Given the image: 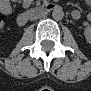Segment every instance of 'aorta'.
Instances as JSON below:
<instances>
[{
	"label": "aorta",
	"mask_w": 91,
	"mask_h": 91,
	"mask_svg": "<svg viewBox=\"0 0 91 91\" xmlns=\"http://www.w3.org/2000/svg\"><path fill=\"white\" fill-rule=\"evenodd\" d=\"M52 17H53V19H55V20H62L63 17H64V12H63V10L60 9V8L54 9L53 12H52Z\"/></svg>",
	"instance_id": "obj_1"
}]
</instances>
